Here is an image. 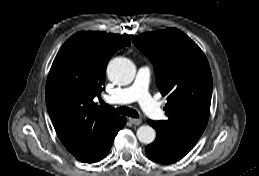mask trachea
I'll use <instances>...</instances> for the list:
<instances>
[{"mask_svg":"<svg viewBox=\"0 0 259 176\" xmlns=\"http://www.w3.org/2000/svg\"><path fill=\"white\" fill-rule=\"evenodd\" d=\"M100 104L103 108L117 114L128 115L135 118L139 116L137 111L132 108H128V107L113 108L112 106L105 104L104 101H100Z\"/></svg>","mask_w":259,"mask_h":176,"instance_id":"obj_1","label":"trachea"}]
</instances>
